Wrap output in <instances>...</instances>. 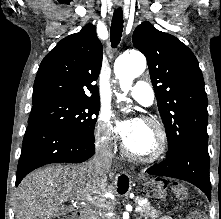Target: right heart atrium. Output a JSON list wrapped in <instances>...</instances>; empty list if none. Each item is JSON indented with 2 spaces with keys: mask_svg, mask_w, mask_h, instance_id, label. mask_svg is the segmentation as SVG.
Here are the masks:
<instances>
[{
  "mask_svg": "<svg viewBox=\"0 0 221 219\" xmlns=\"http://www.w3.org/2000/svg\"><path fill=\"white\" fill-rule=\"evenodd\" d=\"M111 140L112 126L110 116L107 112H101L96 121L95 141L100 147L109 149L111 147Z\"/></svg>",
  "mask_w": 221,
  "mask_h": 219,
  "instance_id": "obj_1",
  "label": "right heart atrium"
}]
</instances>
